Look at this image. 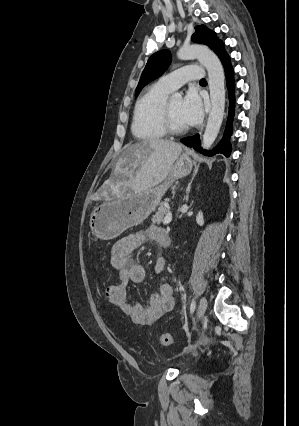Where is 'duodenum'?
<instances>
[{
	"instance_id": "410a0bca",
	"label": "duodenum",
	"mask_w": 299,
	"mask_h": 426,
	"mask_svg": "<svg viewBox=\"0 0 299 426\" xmlns=\"http://www.w3.org/2000/svg\"><path fill=\"white\" fill-rule=\"evenodd\" d=\"M163 244L164 245H168L169 244V238H168V236L166 234H164V236H163Z\"/></svg>"
}]
</instances>
